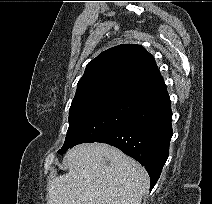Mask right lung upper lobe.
Returning <instances> with one entry per match:
<instances>
[{
	"instance_id": "obj_1",
	"label": "right lung upper lobe",
	"mask_w": 212,
	"mask_h": 204,
	"mask_svg": "<svg viewBox=\"0 0 212 204\" xmlns=\"http://www.w3.org/2000/svg\"><path fill=\"white\" fill-rule=\"evenodd\" d=\"M165 92L153 56L140 45L122 44L87 64L71 106L107 97L144 104Z\"/></svg>"
}]
</instances>
